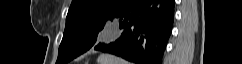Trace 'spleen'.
Returning <instances> with one entry per match:
<instances>
[{"instance_id": "spleen-1", "label": "spleen", "mask_w": 242, "mask_h": 64, "mask_svg": "<svg viewBox=\"0 0 242 64\" xmlns=\"http://www.w3.org/2000/svg\"><path fill=\"white\" fill-rule=\"evenodd\" d=\"M97 62L99 64H129L127 61L109 54L100 55L97 59Z\"/></svg>"}]
</instances>
